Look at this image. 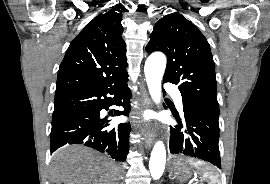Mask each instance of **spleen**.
<instances>
[{"mask_svg":"<svg viewBox=\"0 0 270 184\" xmlns=\"http://www.w3.org/2000/svg\"><path fill=\"white\" fill-rule=\"evenodd\" d=\"M194 166L199 170L204 178L209 180V184H220L219 176L215 174L204 162L198 161L194 163Z\"/></svg>","mask_w":270,"mask_h":184,"instance_id":"spleen-1","label":"spleen"}]
</instances>
